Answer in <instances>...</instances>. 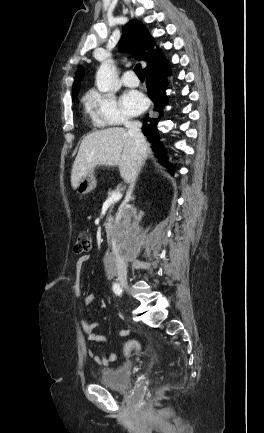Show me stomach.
<instances>
[{"label":"stomach","instance_id":"stomach-1","mask_svg":"<svg viewBox=\"0 0 264 433\" xmlns=\"http://www.w3.org/2000/svg\"><path fill=\"white\" fill-rule=\"evenodd\" d=\"M96 188V179L93 170L88 172L79 182L77 192L81 195L87 194Z\"/></svg>","mask_w":264,"mask_h":433}]
</instances>
